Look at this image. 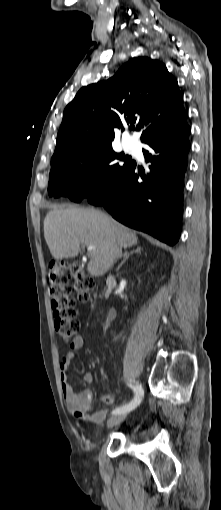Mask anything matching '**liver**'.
<instances>
[{
	"mask_svg": "<svg viewBox=\"0 0 221 510\" xmlns=\"http://www.w3.org/2000/svg\"><path fill=\"white\" fill-rule=\"evenodd\" d=\"M44 238L56 260L76 257L81 246L92 247L87 271L95 277L103 276L113 265L112 245L127 248L138 241L133 231L102 211L76 207L49 211L44 219Z\"/></svg>",
	"mask_w": 221,
	"mask_h": 510,
	"instance_id": "1",
	"label": "liver"
}]
</instances>
